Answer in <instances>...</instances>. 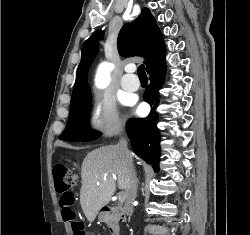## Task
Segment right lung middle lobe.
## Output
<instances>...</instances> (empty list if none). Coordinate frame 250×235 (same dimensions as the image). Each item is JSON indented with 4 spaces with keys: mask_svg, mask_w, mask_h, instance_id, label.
Here are the masks:
<instances>
[{
    "mask_svg": "<svg viewBox=\"0 0 250 235\" xmlns=\"http://www.w3.org/2000/svg\"><path fill=\"white\" fill-rule=\"evenodd\" d=\"M90 109L91 95L89 91L71 100L68 124L65 131L59 136V139L77 142L97 139L100 133L89 128Z\"/></svg>",
    "mask_w": 250,
    "mask_h": 235,
    "instance_id": "dd1d6c3e",
    "label": "right lung middle lobe"
}]
</instances>
